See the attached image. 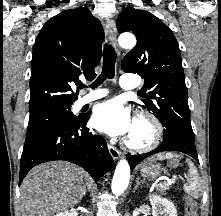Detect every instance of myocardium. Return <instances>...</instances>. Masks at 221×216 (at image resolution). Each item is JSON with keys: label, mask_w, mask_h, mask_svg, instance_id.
Here are the masks:
<instances>
[{"label": "myocardium", "mask_w": 221, "mask_h": 216, "mask_svg": "<svg viewBox=\"0 0 221 216\" xmlns=\"http://www.w3.org/2000/svg\"><path fill=\"white\" fill-rule=\"evenodd\" d=\"M136 123H144L150 130L149 139L145 142H134L130 135L125 141V146L130 151L145 152L156 147L163 136V127L159 119L147 111H140L136 117Z\"/></svg>", "instance_id": "obj_1"}]
</instances>
